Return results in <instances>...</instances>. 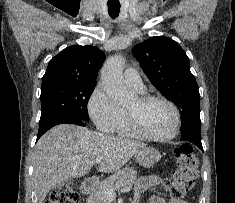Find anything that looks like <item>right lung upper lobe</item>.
<instances>
[{
  "label": "right lung upper lobe",
  "instance_id": "cb5924a9",
  "mask_svg": "<svg viewBox=\"0 0 235 203\" xmlns=\"http://www.w3.org/2000/svg\"><path fill=\"white\" fill-rule=\"evenodd\" d=\"M104 59V52L93 46L67 47L49 61L42 87L65 82L96 83Z\"/></svg>",
  "mask_w": 235,
  "mask_h": 203
}]
</instances>
